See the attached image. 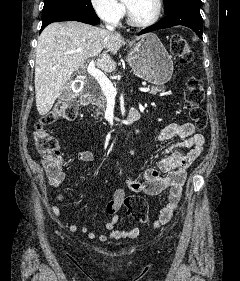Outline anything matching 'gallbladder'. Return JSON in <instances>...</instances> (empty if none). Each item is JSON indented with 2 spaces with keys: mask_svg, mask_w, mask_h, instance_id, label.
Returning <instances> with one entry per match:
<instances>
[{
  "mask_svg": "<svg viewBox=\"0 0 240 281\" xmlns=\"http://www.w3.org/2000/svg\"><path fill=\"white\" fill-rule=\"evenodd\" d=\"M72 91L70 88H66L64 90V95L62 96V100H67L71 98Z\"/></svg>",
  "mask_w": 240,
  "mask_h": 281,
  "instance_id": "gallbladder-1",
  "label": "gallbladder"
}]
</instances>
